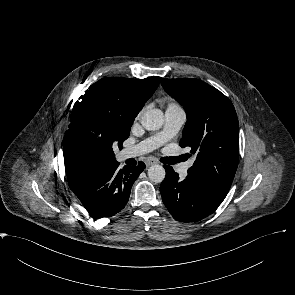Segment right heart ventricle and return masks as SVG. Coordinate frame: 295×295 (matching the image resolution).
Wrapping results in <instances>:
<instances>
[{
	"mask_svg": "<svg viewBox=\"0 0 295 295\" xmlns=\"http://www.w3.org/2000/svg\"><path fill=\"white\" fill-rule=\"evenodd\" d=\"M169 106H177V104H175V103H170ZM169 106H168V107H169Z\"/></svg>",
	"mask_w": 295,
	"mask_h": 295,
	"instance_id": "obj_1",
	"label": "right heart ventricle"
}]
</instances>
